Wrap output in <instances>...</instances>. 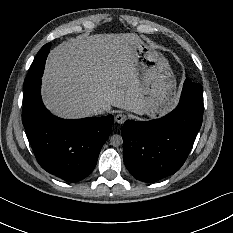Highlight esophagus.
Wrapping results in <instances>:
<instances>
[{
    "instance_id": "34e87169",
    "label": "esophagus",
    "mask_w": 233,
    "mask_h": 233,
    "mask_svg": "<svg viewBox=\"0 0 233 233\" xmlns=\"http://www.w3.org/2000/svg\"><path fill=\"white\" fill-rule=\"evenodd\" d=\"M127 119V116L125 114H118L116 115L115 117V121L118 123V124H123Z\"/></svg>"
}]
</instances>
